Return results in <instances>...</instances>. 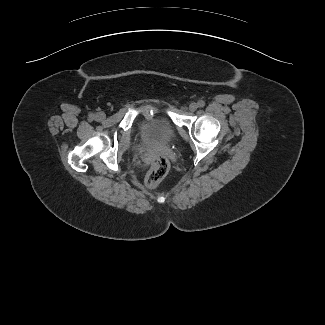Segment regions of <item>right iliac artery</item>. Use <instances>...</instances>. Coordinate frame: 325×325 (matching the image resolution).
Returning a JSON list of instances; mask_svg holds the SVG:
<instances>
[{"label":"right iliac artery","instance_id":"1","mask_svg":"<svg viewBox=\"0 0 325 325\" xmlns=\"http://www.w3.org/2000/svg\"><path fill=\"white\" fill-rule=\"evenodd\" d=\"M90 119H94V115H90Z\"/></svg>","mask_w":325,"mask_h":325}]
</instances>
